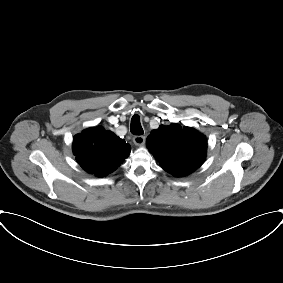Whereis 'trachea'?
Wrapping results in <instances>:
<instances>
[{
  "label": "trachea",
  "mask_w": 283,
  "mask_h": 283,
  "mask_svg": "<svg viewBox=\"0 0 283 283\" xmlns=\"http://www.w3.org/2000/svg\"><path fill=\"white\" fill-rule=\"evenodd\" d=\"M130 129L134 135H142L144 133L141 123H140V118L138 115H134L132 117Z\"/></svg>",
  "instance_id": "trachea-1"
}]
</instances>
